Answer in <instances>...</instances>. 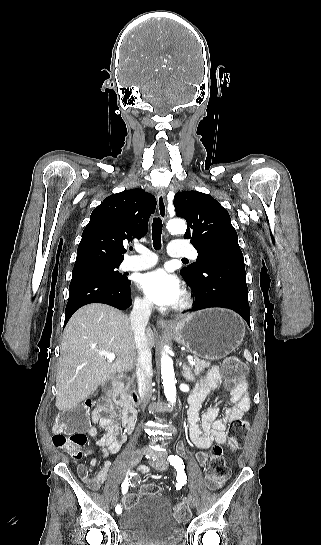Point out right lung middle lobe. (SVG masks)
<instances>
[{"label": "right lung middle lobe", "mask_w": 321, "mask_h": 545, "mask_svg": "<svg viewBox=\"0 0 321 545\" xmlns=\"http://www.w3.org/2000/svg\"><path fill=\"white\" fill-rule=\"evenodd\" d=\"M120 264L115 265H95L90 266L82 269H76L72 271V274L76 273H82V272H88V273H95L102 276H105L110 279H114L117 281H124L127 277L126 274L119 273L116 269L119 267Z\"/></svg>", "instance_id": "1"}]
</instances>
